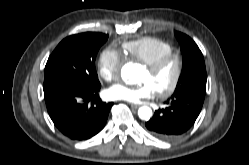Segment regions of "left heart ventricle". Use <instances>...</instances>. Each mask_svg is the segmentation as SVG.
Returning <instances> with one entry per match:
<instances>
[{
    "label": "left heart ventricle",
    "mask_w": 249,
    "mask_h": 165,
    "mask_svg": "<svg viewBox=\"0 0 249 165\" xmlns=\"http://www.w3.org/2000/svg\"><path fill=\"white\" fill-rule=\"evenodd\" d=\"M172 73V65L166 66L159 74L151 75L145 68H142L139 73L140 81L149 82L154 89L161 88L167 84Z\"/></svg>",
    "instance_id": "1"
}]
</instances>
